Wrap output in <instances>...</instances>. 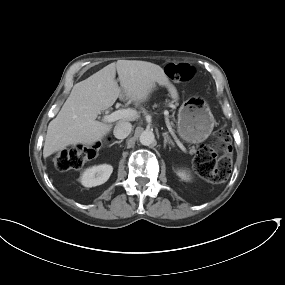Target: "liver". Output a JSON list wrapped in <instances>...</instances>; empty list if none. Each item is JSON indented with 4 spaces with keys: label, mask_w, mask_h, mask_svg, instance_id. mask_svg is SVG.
<instances>
[{
    "label": "liver",
    "mask_w": 285,
    "mask_h": 285,
    "mask_svg": "<svg viewBox=\"0 0 285 285\" xmlns=\"http://www.w3.org/2000/svg\"><path fill=\"white\" fill-rule=\"evenodd\" d=\"M116 71L121 87L115 80ZM156 83L165 86L174 100L178 99L177 90L164 70L146 61L118 60L75 84L58 115L48 125L43 157L71 145H92L101 141L110 132L112 124L97 121L98 114L110 108L117 98L133 101L136 105L145 102ZM138 117L134 111L132 116L119 122Z\"/></svg>",
    "instance_id": "liver-1"
}]
</instances>
